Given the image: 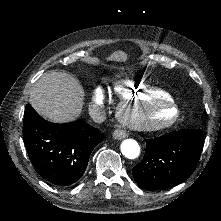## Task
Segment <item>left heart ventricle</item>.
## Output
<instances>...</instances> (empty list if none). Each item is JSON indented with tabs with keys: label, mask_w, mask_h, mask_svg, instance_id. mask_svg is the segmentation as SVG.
Listing matches in <instances>:
<instances>
[{
	"label": "left heart ventricle",
	"mask_w": 221,
	"mask_h": 221,
	"mask_svg": "<svg viewBox=\"0 0 221 221\" xmlns=\"http://www.w3.org/2000/svg\"><path fill=\"white\" fill-rule=\"evenodd\" d=\"M148 118L154 122H171L177 118L178 111L174 105L166 106L163 111H158L157 108H149L147 112Z\"/></svg>",
	"instance_id": "obj_1"
}]
</instances>
